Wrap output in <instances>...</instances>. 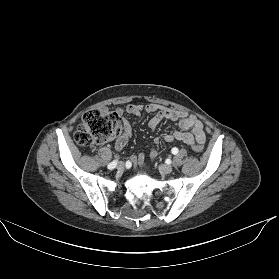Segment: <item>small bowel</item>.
Here are the masks:
<instances>
[{"mask_svg":"<svg viewBox=\"0 0 279 279\" xmlns=\"http://www.w3.org/2000/svg\"><path fill=\"white\" fill-rule=\"evenodd\" d=\"M122 113L133 115L136 117L141 116L143 112L154 113L148 122L149 128L154 131L160 125V123L165 120L177 121L179 130L166 134L164 140L167 142L181 141L188 146L193 144L203 145L206 140V135L204 132V127L202 122L194 115H187L183 111H178L169 107H165L155 103H149L146 105L141 104H130L121 110ZM131 137V128L128 122L124 121V129L122 134L118 137L115 143V150L121 151L128 143ZM156 143H159V139H156ZM151 155L155 156L157 150L155 147L151 148ZM133 165H143L144 153L140 152L134 155L131 159Z\"/></svg>","mask_w":279,"mask_h":279,"instance_id":"1","label":"small bowel"}]
</instances>
